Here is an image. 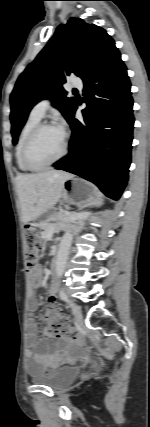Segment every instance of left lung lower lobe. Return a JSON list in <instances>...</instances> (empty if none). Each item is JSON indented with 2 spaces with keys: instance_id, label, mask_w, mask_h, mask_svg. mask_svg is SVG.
Segmentation results:
<instances>
[{
  "instance_id": "1",
  "label": "left lung lower lobe",
  "mask_w": 150,
  "mask_h": 427,
  "mask_svg": "<svg viewBox=\"0 0 150 427\" xmlns=\"http://www.w3.org/2000/svg\"><path fill=\"white\" fill-rule=\"evenodd\" d=\"M83 82L84 121L74 118L75 105L68 119L69 153L53 166L93 182L117 200L128 180L134 125L131 84L118 49Z\"/></svg>"
}]
</instances>
